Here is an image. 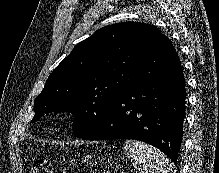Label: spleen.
<instances>
[{"label": "spleen", "instance_id": "spleen-1", "mask_svg": "<svg viewBox=\"0 0 219 173\" xmlns=\"http://www.w3.org/2000/svg\"><path fill=\"white\" fill-rule=\"evenodd\" d=\"M124 150L139 173H175L169 158L146 143L126 140Z\"/></svg>", "mask_w": 219, "mask_h": 173}]
</instances>
